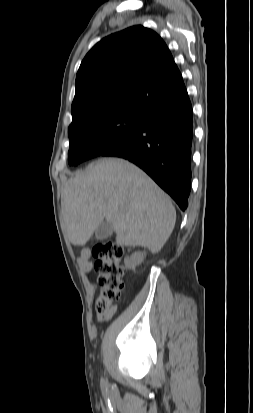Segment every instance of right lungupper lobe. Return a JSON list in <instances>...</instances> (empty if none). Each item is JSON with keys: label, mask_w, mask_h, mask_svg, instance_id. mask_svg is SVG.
I'll return each instance as SVG.
<instances>
[{"label": "right lung upper lobe", "mask_w": 253, "mask_h": 413, "mask_svg": "<svg viewBox=\"0 0 253 413\" xmlns=\"http://www.w3.org/2000/svg\"><path fill=\"white\" fill-rule=\"evenodd\" d=\"M187 96L181 73L165 42L154 31L133 26L98 42L76 76L73 120L110 108L151 107Z\"/></svg>", "instance_id": "right-lung-upper-lobe-1"}]
</instances>
